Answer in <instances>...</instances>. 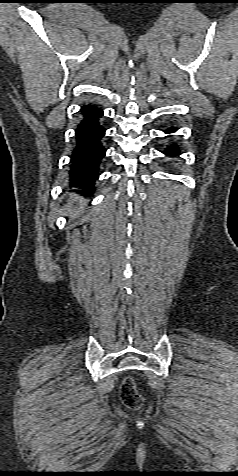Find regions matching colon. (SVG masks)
<instances>
[{
	"label": "colon",
	"instance_id": "1",
	"mask_svg": "<svg viewBox=\"0 0 238 476\" xmlns=\"http://www.w3.org/2000/svg\"><path fill=\"white\" fill-rule=\"evenodd\" d=\"M120 398L129 408H139L142 404V397L136 389V385L131 377L123 380L120 387Z\"/></svg>",
	"mask_w": 238,
	"mask_h": 476
}]
</instances>
